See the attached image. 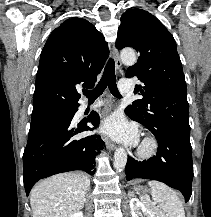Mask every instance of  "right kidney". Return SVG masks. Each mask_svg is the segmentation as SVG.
I'll return each instance as SVG.
<instances>
[{"label":"right kidney","instance_id":"obj_1","mask_svg":"<svg viewBox=\"0 0 211 217\" xmlns=\"http://www.w3.org/2000/svg\"><path fill=\"white\" fill-rule=\"evenodd\" d=\"M69 217H83V213L82 212H76Z\"/></svg>","mask_w":211,"mask_h":217}]
</instances>
